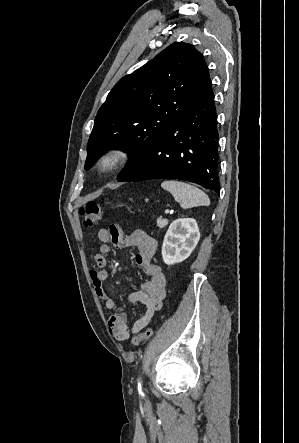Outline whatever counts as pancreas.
Here are the masks:
<instances>
[{"label": "pancreas", "mask_w": 299, "mask_h": 443, "mask_svg": "<svg viewBox=\"0 0 299 443\" xmlns=\"http://www.w3.org/2000/svg\"><path fill=\"white\" fill-rule=\"evenodd\" d=\"M167 224H168L167 219H161V218L157 219V227H159L160 229L164 228Z\"/></svg>", "instance_id": "cf45deb5"}]
</instances>
